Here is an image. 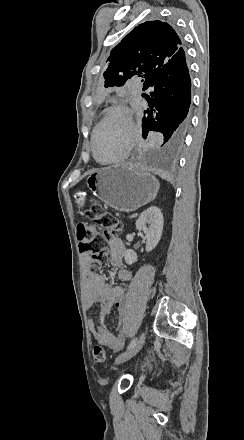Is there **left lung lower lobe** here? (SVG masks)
<instances>
[{"label":"left lung lower lobe","instance_id":"obj_1","mask_svg":"<svg viewBox=\"0 0 244 440\" xmlns=\"http://www.w3.org/2000/svg\"><path fill=\"white\" fill-rule=\"evenodd\" d=\"M150 86L154 89L151 97L142 94L149 104L142 119V136L146 138L150 131L161 132L164 142L158 148V153L170 154L183 145L191 125L188 114L191 80L186 58L178 64L162 67L144 85L143 90Z\"/></svg>","mask_w":244,"mask_h":440}]
</instances>
